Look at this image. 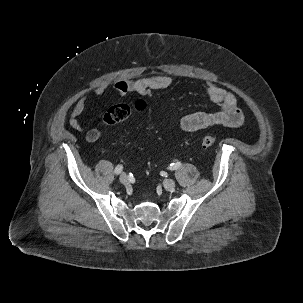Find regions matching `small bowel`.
<instances>
[{"instance_id":"obj_1","label":"small bowel","mask_w":303,"mask_h":303,"mask_svg":"<svg viewBox=\"0 0 303 303\" xmlns=\"http://www.w3.org/2000/svg\"><path fill=\"white\" fill-rule=\"evenodd\" d=\"M172 79L167 75H152L139 79H124L114 84V90L121 96L129 93L147 95L155 90L168 88ZM104 88H97L95 95H102ZM206 94L210 101L216 106L214 110L197 111L183 116L179 121V127L185 132H195L210 126L221 125L237 128L244 123V116L237 104L236 96L229 91L213 83H207ZM87 104V97H80L70 113L69 126L75 130L82 131L79 117L83 114ZM102 133L98 129L89 130L86 140L90 143L100 139Z\"/></svg>"}]
</instances>
